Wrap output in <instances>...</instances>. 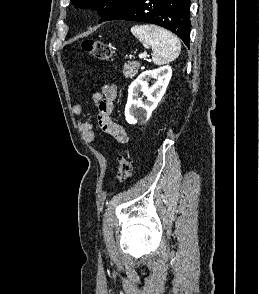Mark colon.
<instances>
[{"mask_svg": "<svg viewBox=\"0 0 259 294\" xmlns=\"http://www.w3.org/2000/svg\"><path fill=\"white\" fill-rule=\"evenodd\" d=\"M83 49L92 57L99 60L109 59L112 55L110 44L100 39H87L82 43ZM133 164L131 159L126 155H121L119 158V168L117 178L120 182H125L132 175Z\"/></svg>", "mask_w": 259, "mask_h": 294, "instance_id": "5ec220e1", "label": "colon"}]
</instances>
